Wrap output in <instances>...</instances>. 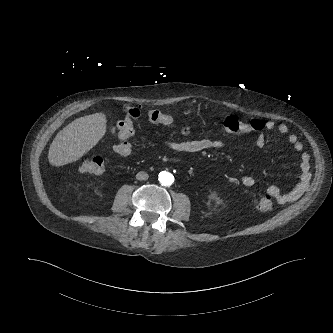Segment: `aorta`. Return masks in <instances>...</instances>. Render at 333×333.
<instances>
[{"label":"aorta","mask_w":333,"mask_h":333,"mask_svg":"<svg viewBox=\"0 0 333 333\" xmlns=\"http://www.w3.org/2000/svg\"><path fill=\"white\" fill-rule=\"evenodd\" d=\"M159 181L164 186H170L173 183L174 178L169 172H161L159 174Z\"/></svg>","instance_id":"762f6f07"}]
</instances>
